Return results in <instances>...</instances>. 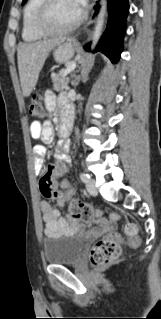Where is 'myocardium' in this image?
Returning <instances> with one entry per match:
<instances>
[{
  "instance_id": "obj_1",
  "label": "myocardium",
  "mask_w": 161,
  "mask_h": 319,
  "mask_svg": "<svg viewBox=\"0 0 161 319\" xmlns=\"http://www.w3.org/2000/svg\"><path fill=\"white\" fill-rule=\"evenodd\" d=\"M55 1L56 0H42L36 15L35 27L40 33L46 36H60L73 32L82 23L86 15L85 11L81 9L78 17L70 25L60 29L53 28L49 24V15Z\"/></svg>"
}]
</instances>
